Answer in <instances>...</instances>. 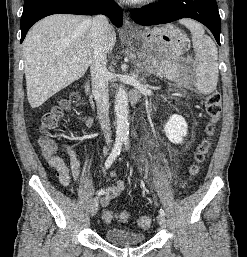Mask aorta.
<instances>
[{"label":"aorta","mask_w":247,"mask_h":257,"mask_svg":"<svg viewBox=\"0 0 247 257\" xmlns=\"http://www.w3.org/2000/svg\"><path fill=\"white\" fill-rule=\"evenodd\" d=\"M115 125L116 138L119 140H126L129 136V122H128V94L123 86L118 88L115 97Z\"/></svg>","instance_id":"762f6f07"}]
</instances>
